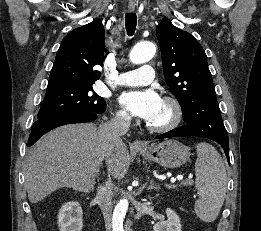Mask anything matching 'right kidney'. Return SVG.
I'll use <instances>...</instances> for the list:
<instances>
[{
    "mask_svg": "<svg viewBox=\"0 0 261 231\" xmlns=\"http://www.w3.org/2000/svg\"><path fill=\"white\" fill-rule=\"evenodd\" d=\"M60 231H81L83 227L82 208L78 202L65 203L58 214Z\"/></svg>",
    "mask_w": 261,
    "mask_h": 231,
    "instance_id": "right-kidney-1",
    "label": "right kidney"
}]
</instances>
